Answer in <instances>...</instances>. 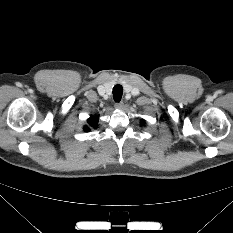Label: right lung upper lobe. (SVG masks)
<instances>
[{
  "label": "right lung upper lobe",
  "mask_w": 233,
  "mask_h": 233,
  "mask_svg": "<svg viewBox=\"0 0 233 233\" xmlns=\"http://www.w3.org/2000/svg\"><path fill=\"white\" fill-rule=\"evenodd\" d=\"M87 123H88V125H86V126L84 127V130H85L86 132L90 131L91 128L96 129V128H97V125H98V117H96V116H91V117L87 120Z\"/></svg>",
  "instance_id": "obj_1"
}]
</instances>
